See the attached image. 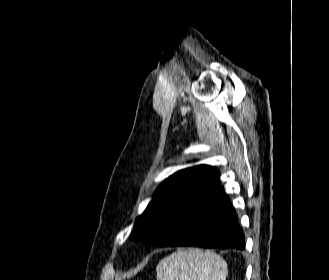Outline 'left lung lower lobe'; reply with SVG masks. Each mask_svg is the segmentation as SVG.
<instances>
[{
  "label": "left lung lower lobe",
  "instance_id": "0a47b994",
  "mask_svg": "<svg viewBox=\"0 0 329 280\" xmlns=\"http://www.w3.org/2000/svg\"><path fill=\"white\" fill-rule=\"evenodd\" d=\"M160 234L169 237L166 246L245 248L238 217L228 196L218 185L187 201Z\"/></svg>",
  "mask_w": 329,
  "mask_h": 280
}]
</instances>
